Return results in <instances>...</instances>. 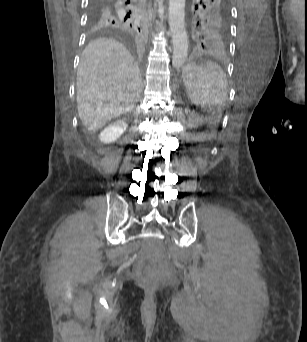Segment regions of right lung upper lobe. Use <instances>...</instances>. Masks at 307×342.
<instances>
[{"label":"right lung upper lobe","instance_id":"1","mask_svg":"<svg viewBox=\"0 0 307 342\" xmlns=\"http://www.w3.org/2000/svg\"><path fill=\"white\" fill-rule=\"evenodd\" d=\"M91 32L141 41L147 32L145 3L141 0H91Z\"/></svg>","mask_w":307,"mask_h":342}]
</instances>
